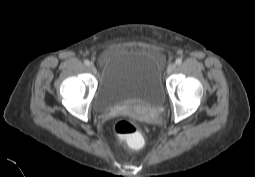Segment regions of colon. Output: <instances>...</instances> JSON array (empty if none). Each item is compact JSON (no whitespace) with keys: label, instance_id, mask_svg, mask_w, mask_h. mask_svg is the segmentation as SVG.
<instances>
[{"label":"colon","instance_id":"colon-1","mask_svg":"<svg viewBox=\"0 0 255 177\" xmlns=\"http://www.w3.org/2000/svg\"><path fill=\"white\" fill-rule=\"evenodd\" d=\"M113 130L117 136L126 140L132 149L138 150L142 147L143 138L135 123L120 119L114 123Z\"/></svg>","mask_w":255,"mask_h":177}]
</instances>
